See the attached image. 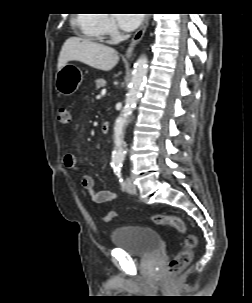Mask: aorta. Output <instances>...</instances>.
<instances>
[{
  "mask_svg": "<svg viewBox=\"0 0 252 303\" xmlns=\"http://www.w3.org/2000/svg\"><path fill=\"white\" fill-rule=\"evenodd\" d=\"M148 60L146 56H141L134 64V69L132 72V79L130 83V88L128 95L126 97L125 106L118 117L115 127H114V144L115 149L112 154V164L114 166H120L126 156V149L124 145V129L126 127L127 121L131 116L136 103L141 96L144 82L147 76V65Z\"/></svg>",
  "mask_w": 252,
  "mask_h": 303,
  "instance_id": "1",
  "label": "aorta"
}]
</instances>
